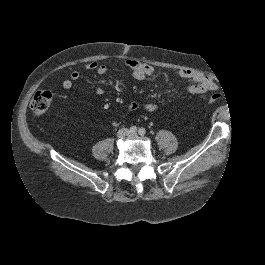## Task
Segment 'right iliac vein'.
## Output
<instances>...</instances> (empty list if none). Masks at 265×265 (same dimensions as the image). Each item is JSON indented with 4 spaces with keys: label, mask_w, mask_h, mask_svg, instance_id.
<instances>
[{
    "label": "right iliac vein",
    "mask_w": 265,
    "mask_h": 265,
    "mask_svg": "<svg viewBox=\"0 0 265 265\" xmlns=\"http://www.w3.org/2000/svg\"><path fill=\"white\" fill-rule=\"evenodd\" d=\"M129 135V130L126 128H122L117 132V137L118 138H123L125 136Z\"/></svg>",
    "instance_id": "obj_1"
}]
</instances>
